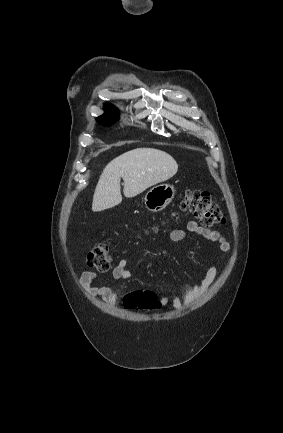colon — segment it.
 Segmentation results:
<instances>
[{
	"label": "colon",
	"instance_id": "obj_1",
	"mask_svg": "<svg viewBox=\"0 0 283 433\" xmlns=\"http://www.w3.org/2000/svg\"><path fill=\"white\" fill-rule=\"evenodd\" d=\"M180 208L191 213L205 226H216L225 223V217L219 205L208 192L199 189H186L181 194ZM87 265L98 271L111 268L109 242L101 241L86 256ZM124 306L128 309L154 310L161 306L160 300L151 291H135L124 297Z\"/></svg>",
	"mask_w": 283,
	"mask_h": 433
}]
</instances>
